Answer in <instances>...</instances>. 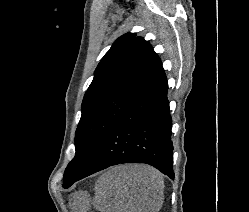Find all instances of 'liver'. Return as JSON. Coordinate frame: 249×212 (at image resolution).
Instances as JSON below:
<instances>
[{"label":"liver","instance_id":"1","mask_svg":"<svg viewBox=\"0 0 249 212\" xmlns=\"http://www.w3.org/2000/svg\"><path fill=\"white\" fill-rule=\"evenodd\" d=\"M99 212H159L163 202L162 174L145 164L112 166L95 186Z\"/></svg>","mask_w":249,"mask_h":212}]
</instances>
